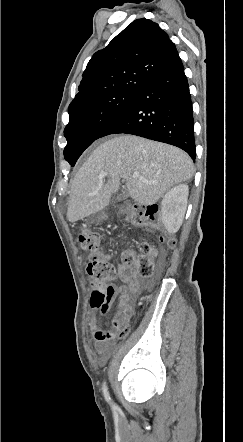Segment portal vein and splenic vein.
Masks as SVG:
<instances>
[{"mask_svg":"<svg viewBox=\"0 0 243 442\" xmlns=\"http://www.w3.org/2000/svg\"><path fill=\"white\" fill-rule=\"evenodd\" d=\"M107 176L106 172H101L100 175L98 176V178L102 181L105 177ZM133 178L137 179L140 178V175L138 172H134L133 173ZM145 183H148L147 180H144Z\"/></svg>","mask_w":243,"mask_h":442,"instance_id":"1","label":"portal vein and splenic vein"}]
</instances>
